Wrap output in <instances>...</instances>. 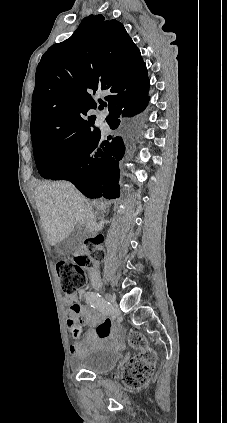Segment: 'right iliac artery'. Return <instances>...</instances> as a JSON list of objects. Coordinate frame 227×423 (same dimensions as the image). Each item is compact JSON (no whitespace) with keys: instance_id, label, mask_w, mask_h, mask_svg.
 <instances>
[{"instance_id":"obj_1","label":"right iliac artery","mask_w":227,"mask_h":423,"mask_svg":"<svg viewBox=\"0 0 227 423\" xmlns=\"http://www.w3.org/2000/svg\"><path fill=\"white\" fill-rule=\"evenodd\" d=\"M86 301L91 307L99 310L100 312L107 314L111 321L117 320V315L113 309L110 307V303L106 302L99 293L96 292H87L86 293Z\"/></svg>"}]
</instances>
